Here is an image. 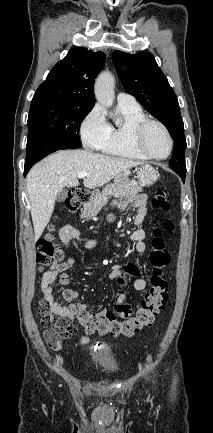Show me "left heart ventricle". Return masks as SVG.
<instances>
[{
  "label": "left heart ventricle",
  "instance_id": "1",
  "mask_svg": "<svg viewBox=\"0 0 213 433\" xmlns=\"http://www.w3.org/2000/svg\"><path fill=\"white\" fill-rule=\"evenodd\" d=\"M145 144L148 150L156 156L167 155L170 148L169 140L164 131L158 126H150L145 134Z\"/></svg>",
  "mask_w": 213,
  "mask_h": 433
}]
</instances>
